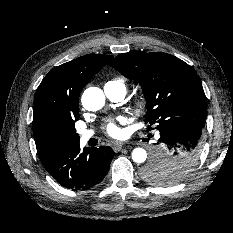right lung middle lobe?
<instances>
[{"label": "right lung middle lobe", "mask_w": 233, "mask_h": 233, "mask_svg": "<svg viewBox=\"0 0 233 233\" xmlns=\"http://www.w3.org/2000/svg\"><path fill=\"white\" fill-rule=\"evenodd\" d=\"M75 118H68L64 122L53 124L43 135L44 152H56L79 144V134L75 130Z\"/></svg>", "instance_id": "dd1d6c3e"}]
</instances>
